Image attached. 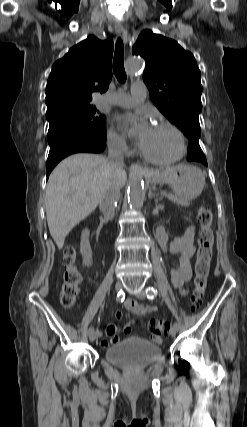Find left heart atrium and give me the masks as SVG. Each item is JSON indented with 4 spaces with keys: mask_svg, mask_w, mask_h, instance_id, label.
<instances>
[{
    "mask_svg": "<svg viewBox=\"0 0 247 427\" xmlns=\"http://www.w3.org/2000/svg\"><path fill=\"white\" fill-rule=\"evenodd\" d=\"M121 125L125 131H137L136 140L141 147L152 130L151 126L146 121L138 119L132 115L123 116L121 118Z\"/></svg>",
    "mask_w": 247,
    "mask_h": 427,
    "instance_id": "1",
    "label": "left heart atrium"
}]
</instances>
